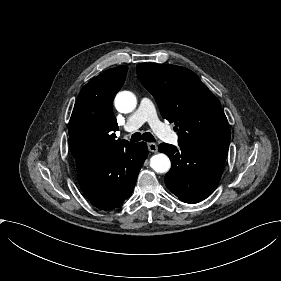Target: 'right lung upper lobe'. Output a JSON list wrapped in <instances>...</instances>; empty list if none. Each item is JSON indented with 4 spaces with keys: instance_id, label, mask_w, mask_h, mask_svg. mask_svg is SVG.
<instances>
[{
    "instance_id": "1",
    "label": "right lung upper lobe",
    "mask_w": 281,
    "mask_h": 281,
    "mask_svg": "<svg viewBox=\"0 0 281 281\" xmlns=\"http://www.w3.org/2000/svg\"><path fill=\"white\" fill-rule=\"evenodd\" d=\"M127 70V66L109 69L80 91L68 124V142L74 158L84 153L115 151L129 143L115 140L118 124L112 111L113 99L125 81Z\"/></svg>"
}]
</instances>
